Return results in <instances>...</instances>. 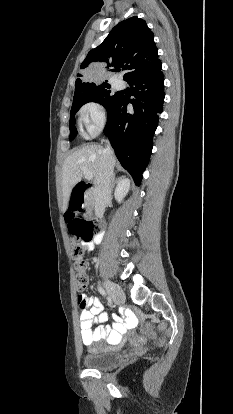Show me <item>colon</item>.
I'll use <instances>...</instances> for the list:
<instances>
[{"instance_id":"1","label":"colon","mask_w":233,"mask_h":414,"mask_svg":"<svg viewBox=\"0 0 233 414\" xmlns=\"http://www.w3.org/2000/svg\"><path fill=\"white\" fill-rule=\"evenodd\" d=\"M67 224L70 232L77 236L81 241H74L71 245V257L75 263L76 276L75 284L77 289V303L84 297H80V292H84L88 285L87 268L88 263L84 259V243L90 242L94 233L100 228L99 224L93 221H85L79 212L69 211L67 214ZM85 299V298H84ZM141 333L153 337L152 325L145 323L141 327Z\"/></svg>"}]
</instances>
